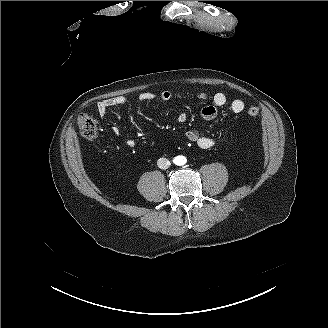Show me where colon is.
<instances>
[{"label":"colon","mask_w":328,"mask_h":328,"mask_svg":"<svg viewBox=\"0 0 328 328\" xmlns=\"http://www.w3.org/2000/svg\"><path fill=\"white\" fill-rule=\"evenodd\" d=\"M259 113V108L256 106H251L247 109V114L251 117L257 116ZM78 127L80 133L86 139H93L97 135V125L93 117L83 113L78 117Z\"/></svg>","instance_id":"colon-1"}]
</instances>
